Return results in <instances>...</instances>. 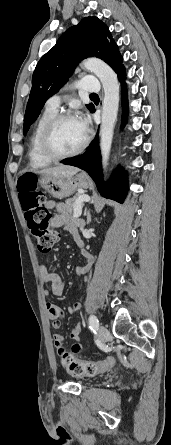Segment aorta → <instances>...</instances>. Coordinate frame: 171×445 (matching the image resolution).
Instances as JSON below:
<instances>
[{
	"instance_id": "obj_1",
	"label": "aorta",
	"mask_w": 171,
	"mask_h": 445,
	"mask_svg": "<svg viewBox=\"0 0 171 445\" xmlns=\"http://www.w3.org/2000/svg\"><path fill=\"white\" fill-rule=\"evenodd\" d=\"M83 67L94 73L100 79L104 89L100 127V149L102 154V165L105 169L111 151L114 127L117 120L119 83L117 75L113 69L100 59H87L83 62Z\"/></svg>"
}]
</instances>
